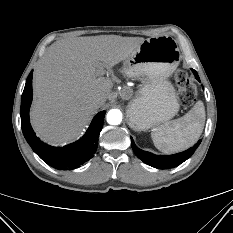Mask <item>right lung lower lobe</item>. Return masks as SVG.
Segmentation results:
<instances>
[{
	"instance_id": "right-lung-lower-lobe-1",
	"label": "right lung lower lobe",
	"mask_w": 233,
	"mask_h": 233,
	"mask_svg": "<svg viewBox=\"0 0 233 233\" xmlns=\"http://www.w3.org/2000/svg\"><path fill=\"white\" fill-rule=\"evenodd\" d=\"M30 72L21 99V128L24 137L33 151L48 165L59 170H72L93 157L97 150L98 137L103 127L105 111L93 119L85 135L73 144L56 148L42 143L36 137L29 121V108L32 101V73Z\"/></svg>"
}]
</instances>
